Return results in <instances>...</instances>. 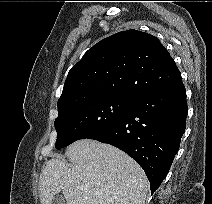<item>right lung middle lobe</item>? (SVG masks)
I'll list each match as a JSON object with an SVG mask.
<instances>
[{
  "mask_svg": "<svg viewBox=\"0 0 212 204\" xmlns=\"http://www.w3.org/2000/svg\"><path fill=\"white\" fill-rule=\"evenodd\" d=\"M133 99L124 96L99 97L58 109L54 125L57 150L79 140L90 138L118 121L129 111Z\"/></svg>",
  "mask_w": 212,
  "mask_h": 204,
  "instance_id": "1",
  "label": "right lung middle lobe"
}]
</instances>
